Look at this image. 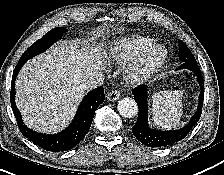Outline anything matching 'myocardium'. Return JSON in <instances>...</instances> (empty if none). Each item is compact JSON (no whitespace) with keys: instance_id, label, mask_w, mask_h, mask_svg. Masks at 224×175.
Masks as SVG:
<instances>
[{"instance_id":"myocardium-1","label":"myocardium","mask_w":224,"mask_h":175,"mask_svg":"<svg viewBox=\"0 0 224 175\" xmlns=\"http://www.w3.org/2000/svg\"><path fill=\"white\" fill-rule=\"evenodd\" d=\"M168 57L166 47L153 43L142 50L124 69V79L131 85L141 84L153 77L163 67Z\"/></svg>"}]
</instances>
